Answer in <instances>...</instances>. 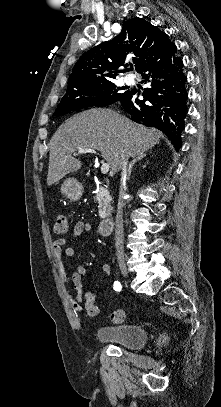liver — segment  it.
I'll use <instances>...</instances> for the list:
<instances>
[{"label":"liver","mask_w":221,"mask_h":407,"mask_svg":"<svg viewBox=\"0 0 221 407\" xmlns=\"http://www.w3.org/2000/svg\"><path fill=\"white\" fill-rule=\"evenodd\" d=\"M162 133L136 124L111 109H90L67 119L53 135L47 185L79 170L80 159L72 156L79 149H97L114 172L121 170L123 159L136 157L156 145Z\"/></svg>","instance_id":"liver-1"}]
</instances>
